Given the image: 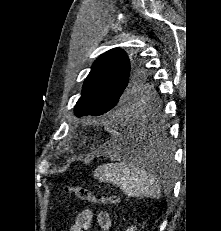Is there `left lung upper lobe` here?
I'll list each match as a JSON object with an SVG mask.
<instances>
[{
    "label": "left lung upper lobe",
    "instance_id": "1",
    "mask_svg": "<svg viewBox=\"0 0 221 231\" xmlns=\"http://www.w3.org/2000/svg\"><path fill=\"white\" fill-rule=\"evenodd\" d=\"M157 88L152 85L139 57L129 59L120 48L97 58L87 76L75 115L111 116L133 106H145L151 116L160 110Z\"/></svg>",
    "mask_w": 221,
    "mask_h": 231
}]
</instances>
